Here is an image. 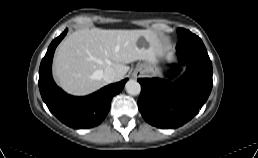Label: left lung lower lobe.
<instances>
[{"instance_id": "0a47b994", "label": "left lung lower lobe", "mask_w": 258, "mask_h": 158, "mask_svg": "<svg viewBox=\"0 0 258 158\" xmlns=\"http://www.w3.org/2000/svg\"><path fill=\"white\" fill-rule=\"evenodd\" d=\"M176 48L181 62L187 64L180 79L174 83L138 79L139 110L149 124L158 128H177L192 119L207 101L213 85L212 63L202 40L190 33Z\"/></svg>"}]
</instances>
